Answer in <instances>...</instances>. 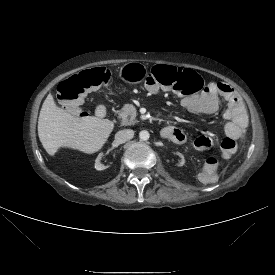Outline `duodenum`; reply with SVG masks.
Returning a JSON list of instances; mask_svg holds the SVG:
<instances>
[{
    "label": "duodenum",
    "instance_id": "duodenum-1",
    "mask_svg": "<svg viewBox=\"0 0 275 275\" xmlns=\"http://www.w3.org/2000/svg\"><path fill=\"white\" fill-rule=\"evenodd\" d=\"M69 109H71V108L69 107ZM106 112H107V110H106L105 104L100 103V104L97 105L96 110H95V113H96L97 117L103 118L106 115Z\"/></svg>",
    "mask_w": 275,
    "mask_h": 275
}]
</instances>
